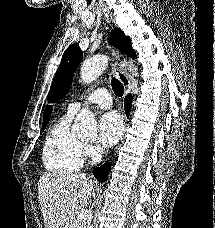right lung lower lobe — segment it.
Returning a JSON list of instances; mask_svg holds the SVG:
<instances>
[{"label":"right lung lower lobe","mask_w":215,"mask_h":228,"mask_svg":"<svg viewBox=\"0 0 215 228\" xmlns=\"http://www.w3.org/2000/svg\"><path fill=\"white\" fill-rule=\"evenodd\" d=\"M125 112L126 115L129 116L131 110V103H132V96L129 94L125 97ZM110 163H105L104 165L100 166L99 168L94 169L93 174L97 180L100 182H105L108 178V173L110 170Z\"/></svg>","instance_id":"98d812e1"}]
</instances>
